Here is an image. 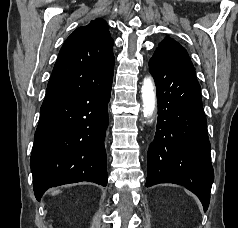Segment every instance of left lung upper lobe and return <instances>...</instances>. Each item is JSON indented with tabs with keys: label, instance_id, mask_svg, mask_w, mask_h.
Instances as JSON below:
<instances>
[{
	"label": "left lung upper lobe",
	"instance_id": "obj_1",
	"mask_svg": "<svg viewBox=\"0 0 238 228\" xmlns=\"http://www.w3.org/2000/svg\"><path fill=\"white\" fill-rule=\"evenodd\" d=\"M157 50H162L168 53L169 55L188 61L192 64L187 51L176 41L171 38H165L160 44ZM156 50V51H157Z\"/></svg>",
	"mask_w": 238,
	"mask_h": 228
}]
</instances>
